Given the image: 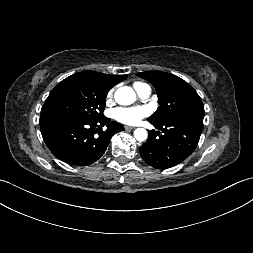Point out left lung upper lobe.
<instances>
[{"mask_svg": "<svg viewBox=\"0 0 253 253\" xmlns=\"http://www.w3.org/2000/svg\"><path fill=\"white\" fill-rule=\"evenodd\" d=\"M136 75L148 80L157 91L160 106L148 118L149 121L163 124L193 113H205L204 105L195 89L180 77L160 71H147Z\"/></svg>", "mask_w": 253, "mask_h": 253, "instance_id": "1", "label": "left lung upper lobe"}]
</instances>
